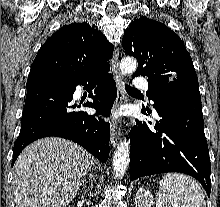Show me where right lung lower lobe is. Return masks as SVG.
<instances>
[{"instance_id":"1","label":"right lung lower lobe","mask_w":220,"mask_h":207,"mask_svg":"<svg viewBox=\"0 0 220 207\" xmlns=\"http://www.w3.org/2000/svg\"><path fill=\"white\" fill-rule=\"evenodd\" d=\"M110 67H100L82 79H72L50 74L30 76L27 79V96L21 119V130L14 143V165L20 152L31 142L49 136L72 140L100 161L109 157L110 125L95 115L78 110L72 102L77 85L98 84L96 95L90 94L92 107L109 116L117 96L116 83L108 73Z\"/></svg>"}]
</instances>
